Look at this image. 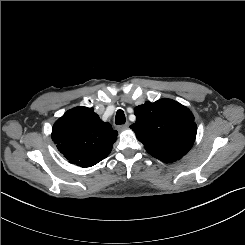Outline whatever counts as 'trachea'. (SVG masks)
I'll return each mask as SVG.
<instances>
[{
  "mask_svg": "<svg viewBox=\"0 0 245 245\" xmlns=\"http://www.w3.org/2000/svg\"><path fill=\"white\" fill-rule=\"evenodd\" d=\"M125 122H126L125 114L123 110L119 109L116 113L115 124L121 125V124H124Z\"/></svg>",
  "mask_w": 245,
  "mask_h": 245,
  "instance_id": "obj_1",
  "label": "trachea"
}]
</instances>
